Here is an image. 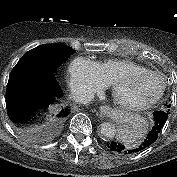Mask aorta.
Masks as SVG:
<instances>
[{
    "instance_id": "1",
    "label": "aorta",
    "mask_w": 177,
    "mask_h": 177,
    "mask_svg": "<svg viewBox=\"0 0 177 177\" xmlns=\"http://www.w3.org/2000/svg\"><path fill=\"white\" fill-rule=\"evenodd\" d=\"M117 134L116 127L110 122H104L100 126V135L103 139H113Z\"/></svg>"
}]
</instances>
